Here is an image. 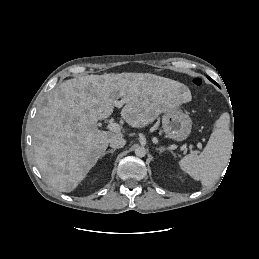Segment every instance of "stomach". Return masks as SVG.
Segmentation results:
<instances>
[{
	"instance_id": "obj_1",
	"label": "stomach",
	"mask_w": 259,
	"mask_h": 259,
	"mask_svg": "<svg viewBox=\"0 0 259 259\" xmlns=\"http://www.w3.org/2000/svg\"><path fill=\"white\" fill-rule=\"evenodd\" d=\"M183 93H189L186 86H182ZM162 128L166 136L175 141H183L191 133V118L178 107L168 109L162 117Z\"/></svg>"
}]
</instances>
